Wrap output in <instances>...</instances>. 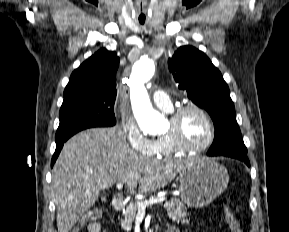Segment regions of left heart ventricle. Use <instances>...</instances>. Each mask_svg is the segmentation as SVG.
<instances>
[{
    "mask_svg": "<svg viewBox=\"0 0 289 232\" xmlns=\"http://www.w3.org/2000/svg\"><path fill=\"white\" fill-rule=\"evenodd\" d=\"M172 129L169 121L166 133ZM178 130L182 141L189 146H199L208 137V126L204 118L196 111H187L180 119Z\"/></svg>",
    "mask_w": 289,
    "mask_h": 232,
    "instance_id": "b2bd125f",
    "label": "left heart ventricle"
}]
</instances>
